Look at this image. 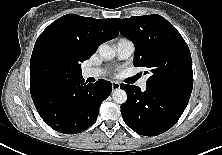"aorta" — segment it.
Listing matches in <instances>:
<instances>
[{
	"mask_svg": "<svg viewBox=\"0 0 222 155\" xmlns=\"http://www.w3.org/2000/svg\"><path fill=\"white\" fill-rule=\"evenodd\" d=\"M98 51L100 56L106 60H111L116 55L115 50L107 44L100 45ZM112 98L114 102L123 104L127 100V93L122 89H116L112 94Z\"/></svg>",
	"mask_w": 222,
	"mask_h": 155,
	"instance_id": "aorta-1",
	"label": "aorta"
}]
</instances>
